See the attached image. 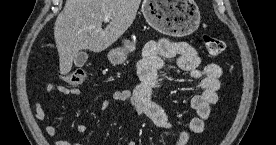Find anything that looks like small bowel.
<instances>
[{
    "label": "small bowel",
    "instance_id": "obj_1",
    "mask_svg": "<svg viewBox=\"0 0 276 145\" xmlns=\"http://www.w3.org/2000/svg\"><path fill=\"white\" fill-rule=\"evenodd\" d=\"M165 59H174L177 67L191 78L199 80L200 92L191 99V107L197 116L190 119L188 128L179 133L175 145H186L191 134H199L204 130L206 120L210 116L211 107L217 100V92L220 88L221 68L218 64L209 63L200 66V58L197 51L186 42H177L169 39L148 42L143 50V57L137 65L139 83L134 89L115 90L110 99L102 102L101 108L108 109L112 102H129L135 109L138 117L149 118L157 127L170 129L172 123L168 119L164 109L152 99V92L159 87L158 72L164 66ZM44 90L48 93H58L65 96H79L78 88H68L63 85L49 83ZM34 117L42 121L46 112L41 103L34 104ZM79 133H85L87 127L78 124ZM45 133L52 137L57 133L55 125L45 127ZM54 145H78L64 140H56ZM127 145H135L130 140Z\"/></svg>",
    "mask_w": 276,
    "mask_h": 145
}]
</instances>
